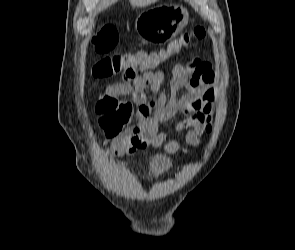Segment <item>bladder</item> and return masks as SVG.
<instances>
[{
	"mask_svg": "<svg viewBox=\"0 0 295 250\" xmlns=\"http://www.w3.org/2000/svg\"><path fill=\"white\" fill-rule=\"evenodd\" d=\"M148 166L152 175H164L170 172L174 164L171 159L161 154H153L148 159Z\"/></svg>",
	"mask_w": 295,
	"mask_h": 250,
	"instance_id": "1",
	"label": "bladder"
}]
</instances>
